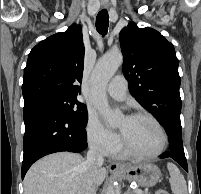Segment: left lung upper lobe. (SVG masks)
<instances>
[{
	"label": "left lung upper lobe",
	"mask_w": 201,
	"mask_h": 194,
	"mask_svg": "<svg viewBox=\"0 0 201 194\" xmlns=\"http://www.w3.org/2000/svg\"><path fill=\"white\" fill-rule=\"evenodd\" d=\"M120 44L131 94L161 124L169 117L180 119L181 79L172 43L158 31L131 22L120 32Z\"/></svg>",
	"instance_id": "obj_1"
}]
</instances>
